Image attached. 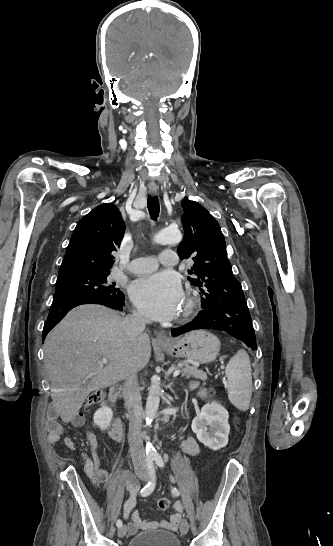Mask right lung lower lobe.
Returning <instances> with one entry per match:
<instances>
[{"label": "right lung lower lobe", "instance_id": "98d812e1", "mask_svg": "<svg viewBox=\"0 0 333 546\" xmlns=\"http://www.w3.org/2000/svg\"><path fill=\"white\" fill-rule=\"evenodd\" d=\"M81 304H100L122 311L124 295L122 293L114 295H91L53 301L44 325L43 339H45L48 332L61 321L69 310Z\"/></svg>", "mask_w": 333, "mask_h": 546}]
</instances>
